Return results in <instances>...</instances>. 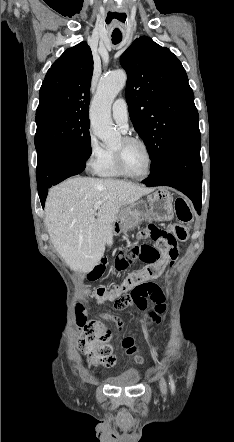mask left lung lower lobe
Listing matches in <instances>:
<instances>
[{
    "mask_svg": "<svg viewBox=\"0 0 234 442\" xmlns=\"http://www.w3.org/2000/svg\"><path fill=\"white\" fill-rule=\"evenodd\" d=\"M200 131L183 137L171 150L165 164L143 181L147 186H171L194 203L198 212L202 200V164L200 160Z\"/></svg>",
    "mask_w": 234,
    "mask_h": 442,
    "instance_id": "obj_1",
    "label": "left lung lower lobe"
}]
</instances>
